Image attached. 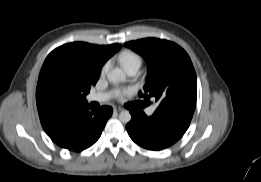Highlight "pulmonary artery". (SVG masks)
<instances>
[{
	"instance_id": "obj_1",
	"label": "pulmonary artery",
	"mask_w": 261,
	"mask_h": 182,
	"mask_svg": "<svg viewBox=\"0 0 261 182\" xmlns=\"http://www.w3.org/2000/svg\"><path fill=\"white\" fill-rule=\"evenodd\" d=\"M127 74L129 76H134L138 70L139 67L138 66H132L129 67L127 69H125ZM113 97V93L112 92H107V93H93L87 96V101L89 102H106L108 100H110ZM156 107H150L146 110V113L148 116L153 115V113L155 112Z\"/></svg>"
}]
</instances>
